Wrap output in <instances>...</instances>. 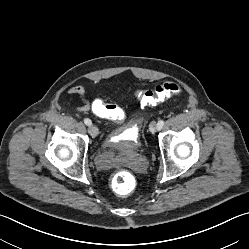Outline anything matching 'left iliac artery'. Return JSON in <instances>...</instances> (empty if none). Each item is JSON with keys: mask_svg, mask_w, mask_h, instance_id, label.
Returning <instances> with one entry per match:
<instances>
[{"mask_svg": "<svg viewBox=\"0 0 249 249\" xmlns=\"http://www.w3.org/2000/svg\"><path fill=\"white\" fill-rule=\"evenodd\" d=\"M163 125H164V121L163 120L158 121V123H157V129L160 130L163 127Z\"/></svg>", "mask_w": 249, "mask_h": 249, "instance_id": "left-iliac-artery-1", "label": "left iliac artery"}]
</instances>
